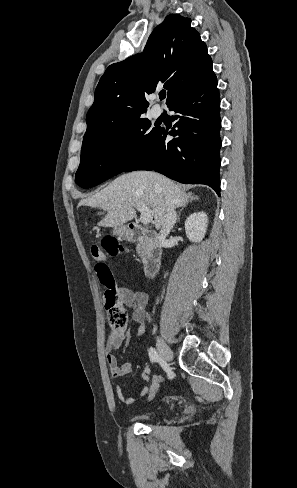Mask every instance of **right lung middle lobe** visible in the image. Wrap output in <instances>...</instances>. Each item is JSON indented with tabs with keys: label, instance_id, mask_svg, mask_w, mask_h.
I'll return each instance as SVG.
<instances>
[{
	"label": "right lung middle lobe",
	"instance_id": "right-lung-middle-lobe-1",
	"mask_svg": "<svg viewBox=\"0 0 297 488\" xmlns=\"http://www.w3.org/2000/svg\"><path fill=\"white\" fill-rule=\"evenodd\" d=\"M150 126L148 119L138 118L102 135L85 137L76 184L90 188L125 171L158 133V128L150 129Z\"/></svg>",
	"mask_w": 297,
	"mask_h": 488
}]
</instances>
